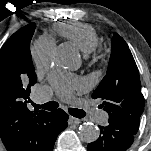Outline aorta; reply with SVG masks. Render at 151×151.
<instances>
[{
  "label": "aorta",
  "mask_w": 151,
  "mask_h": 151,
  "mask_svg": "<svg viewBox=\"0 0 151 151\" xmlns=\"http://www.w3.org/2000/svg\"><path fill=\"white\" fill-rule=\"evenodd\" d=\"M54 60L58 65L62 67L72 68L76 63V55L69 45L63 44L58 46L55 50ZM99 135V128L93 123H83L79 127V136L83 142H95L99 138Z\"/></svg>",
  "instance_id": "obj_1"
}]
</instances>
